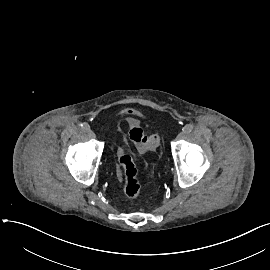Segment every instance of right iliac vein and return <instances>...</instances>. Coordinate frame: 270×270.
<instances>
[{
    "label": "right iliac vein",
    "mask_w": 270,
    "mask_h": 270,
    "mask_svg": "<svg viewBox=\"0 0 270 270\" xmlns=\"http://www.w3.org/2000/svg\"><path fill=\"white\" fill-rule=\"evenodd\" d=\"M88 135L90 138L94 139L96 137L95 133L92 130L88 131Z\"/></svg>",
    "instance_id": "obj_1"
}]
</instances>
